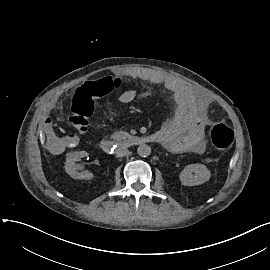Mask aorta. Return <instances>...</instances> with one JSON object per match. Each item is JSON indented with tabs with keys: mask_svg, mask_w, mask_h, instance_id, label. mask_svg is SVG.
<instances>
[{
	"mask_svg": "<svg viewBox=\"0 0 270 270\" xmlns=\"http://www.w3.org/2000/svg\"><path fill=\"white\" fill-rule=\"evenodd\" d=\"M137 153L142 157L149 156L151 154V148L147 144H141L137 149Z\"/></svg>",
	"mask_w": 270,
	"mask_h": 270,
	"instance_id": "762f6f07",
	"label": "aorta"
}]
</instances>
